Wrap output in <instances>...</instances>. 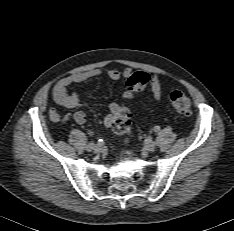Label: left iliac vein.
Listing matches in <instances>:
<instances>
[{"mask_svg":"<svg viewBox=\"0 0 234 231\" xmlns=\"http://www.w3.org/2000/svg\"><path fill=\"white\" fill-rule=\"evenodd\" d=\"M156 148L155 142L151 141L145 144L144 150L148 152H153Z\"/></svg>","mask_w":234,"mask_h":231,"instance_id":"4c4485c4","label":"left iliac vein"}]
</instances>
